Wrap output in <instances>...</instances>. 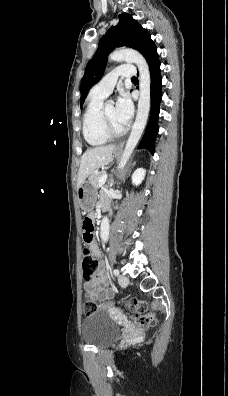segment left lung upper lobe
I'll use <instances>...</instances> for the list:
<instances>
[{
  "label": "left lung upper lobe",
  "mask_w": 228,
  "mask_h": 396,
  "mask_svg": "<svg viewBox=\"0 0 228 396\" xmlns=\"http://www.w3.org/2000/svg\"><path fill=\"white\" fill-rule=\"evenodd\" d=\"M153 41L150 34L131 15L122 13L119 22L100 39L98 49L88 62L81 82V108L89 89L103 76L107 57L116 47H131L145 55Z\"/></svg>",
  "instance_id": "5c2ea615"
}]
</instances>
